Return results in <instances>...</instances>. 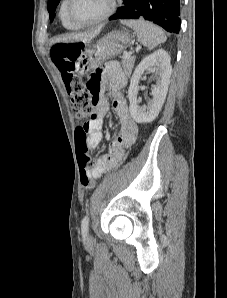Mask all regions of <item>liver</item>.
<instances>
[{"instance_id":"6515ba94","label":"liver","mask_w":227,"mask_h":298,"mask_svg":"<svg viewBox=\"0 0 227 298\" xmlns=\"http://www.w3.org/2000/svg\"><path fill=\"white\" fill-rule=\"evenodd\" d=\"M101 29L102 28L99 27L93 32L76 33V34H68V35L60 36L55 38L53 42H58V43L59 42L68 43V42H77V41L89 42L100 33Z\"/></svg>"}]
</instances>
